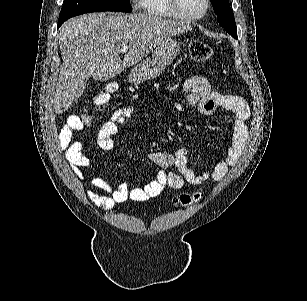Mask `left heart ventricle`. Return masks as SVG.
Instances as JSON below:
<instances>
[{"mask_svg": "<svg viewBox=\"0 0 307 301\" xmlns=\"http://www.w3.org/2000/svg\"><path fill=\"white\" fill-rule=\"evenodd\" d=\"M179 4V7L176 11V13H189L190 11H200L199 2H202V0H182L177 1Z\"/></svg>", "mask_w": 307, "mask_h": 301, "instance_id": "obj_1", "label": "left heart ventricle"}]
</instances>
